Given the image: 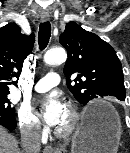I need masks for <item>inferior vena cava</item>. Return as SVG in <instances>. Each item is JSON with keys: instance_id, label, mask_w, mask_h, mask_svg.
Here are the masks:
<instances>
[{"instance_id": "inferior-vena-cava-1", "label": "inferior vena cava", "mask_w": 130, "mask_h": 153, "mask_svg": "<svg viewBox=\"0 0 130 153\" xmlns=\"http://www.w3.org/2000/svg\"><path fill=\"white\" fill-rule=\"evenodd\" d=\"M21 138L25 153L40 152L41 130L38 124L22 127Z\"/></svg>"}]
</instances>
